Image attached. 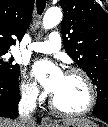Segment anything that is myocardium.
<instances>
[{"mask_svg":"<svg viewBox=\"0 0 108 127\" xmlns=\"http://www.w3.org/2000/svg\"><path fill=\"white\" fill-rule=\"evenodd\" d=\"M66 74H75V75H78L81 77V79L83 80V82L86 86V89H87V94H88L87 104L85 105L84 108H82L80 110L70 111V110H66V109L61 108L57 104L54 96H52L50 99L51 107L56 112H58L62 115H67V116H81V115H85V114L89 113L93 109V107L95 106L96 98H97L96 90H95V87H94V84H93L91 78L89 77V75L84 70H82L80 68H76V67L69 68L66 71Z\"/></svg>","mask_w":108,"mask_h":127,"instance_id":"f54148a6","label":"myocardium"}]
</instances>
